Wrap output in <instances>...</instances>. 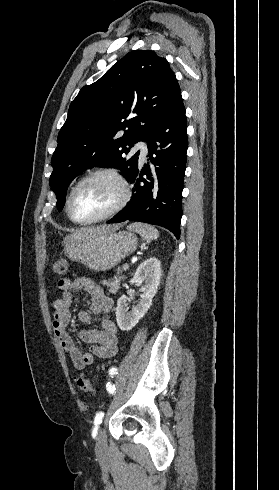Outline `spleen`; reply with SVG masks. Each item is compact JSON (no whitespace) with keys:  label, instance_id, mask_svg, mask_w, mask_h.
Here are the masks:
<instances>
[{"label":"spleen","instance_id":"3e777b00","mask_svg":"<svg viewBox=\"0 0 279 490\" xmlns=\"http://www.w3.org/2000/svg\"><path fill=\"white\" fill-rule=\"evenodd\" d=\"M127 230H132V232H137V234H140L144 240H156L158 238V232L153 228V226H148V224H139V222H136V224H130V226H127Z\"/></svg>","mask_w":279,"mask_h":490}]
</instances>
